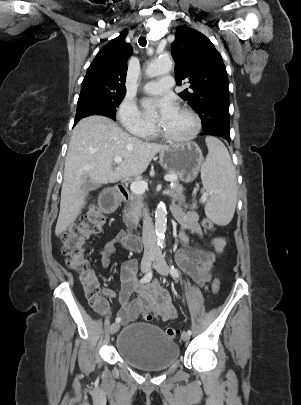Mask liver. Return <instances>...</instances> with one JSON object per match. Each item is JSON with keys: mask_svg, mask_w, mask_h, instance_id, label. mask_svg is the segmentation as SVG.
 I'll return each instance as SVG.
<instances>
[{"mask_svg": "<svg viewBox=\"0 0 301 405\" xmlns=\"http://www.w3.org/2000/svg\"><path fill=\"white\" fill-rule=\"evenodd\" d=\"M169 147L143 142L104 116L80 120L72 132L65 159L56 234L66 231L81 214L85 205L82 186L87 179L101 185L139 176L158 152ZM115 156H121L123 161L113 168Z\"/></svg>", "mask_w": 301, "mask_h": 405, "instance_id": "obj_1", "label": "liver"}]
</instances>
